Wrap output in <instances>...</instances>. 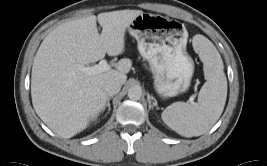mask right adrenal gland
I'll use <instances>...</instances> for the list:
<instances>
[{"label":"right adrenal gland","mask_w":267,"mask_h":166,"mask_svg":"<svg viewBox=\"0 0 267 166\" xmlns=\"http://www.w3.org/2000/svg\"><path fill=\"white\" fill-rule=\"evenodd\" d=\"M112 98H113V97H109V98L107 99V102H106V105H105V107L108 108V113H109L110 110H111V107H110V100H111Z\"/></svg>","instance_id":"1"}]
</instances>
